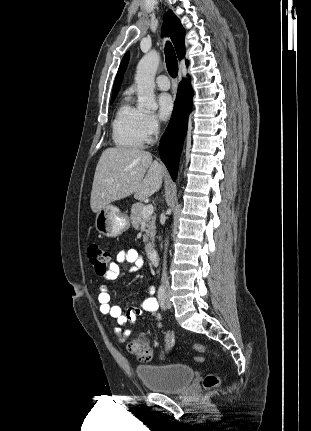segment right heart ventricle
<instances>
[{"label": "right heart ventricle", "mask_w": 311, "mask_h": 431, "mask_svg": "<svg viewBox=\"0 0 311 431\" xmlns=\"http://www.w3.org/2000/svg\"><path fill=\"white\" fill-rule=\"evenodd\" d=\"M145 112L124 99L116 109L112 123V139L119 149H140L146 138Z\"/></svg>", "instance_id": "e07e8e85"}]
</instances>
